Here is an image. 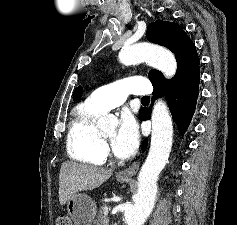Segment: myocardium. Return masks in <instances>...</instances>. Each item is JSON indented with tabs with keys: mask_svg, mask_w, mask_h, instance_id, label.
<instances>
[{
	"mask_svg": "<svg viewBox=\"0 0 237 225\" xmlns=\"http://www.w3.org/2000/svg\"><path fill=\"white\" fill-rule=\"evenodd\" d=\"M101 139L104 145L105 155H107L109 158H114V155L109 148V141L106 139L103 133H101Z\"/></svg>",
	"mask_w": 237,
	"mask_h": 225,
	"instance_id": "obj_1",
	"label": "myocardium"
}]
</instances>
